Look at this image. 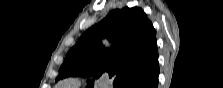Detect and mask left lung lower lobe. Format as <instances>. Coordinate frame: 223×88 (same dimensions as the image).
Masks as SVG:
<instances>
[{"label": "left lung lower lobe", "instance_id": "left-lung-lower-lobe-1", "mask_svg": "<svg viewBox=\"0 0 223 88\" xmlns=\"http://www.w3.org/2000/svg\"><path fill=\"white\" fill-rule=\"evenodd\" d=\"M159 75L158 59L145 69L140 75L131 79L123 88H157Z\"/></svg>", "mask_w": 223, "mask_h": 88}]
</instances>
